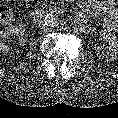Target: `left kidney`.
I'll return each mask as SVG.
<instances>
[{
    "instance_id": "left-kidney-1",
    "label": "left kidney",
    "mask_w": 118,
    "mask_h": 118,
    "mask_svg": "<svg viewBox=\"0 0 118 118\" xmlns=\"http://www.w3.org/2000/svg\"><path fill=\"white\" fill-rule=\"evenodd\" d=\"M100 36L108 42V50L106 52H96L97 57L106 61L118 59V38L107 30H101Z\"/></svg>"
}]
</instances>
